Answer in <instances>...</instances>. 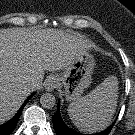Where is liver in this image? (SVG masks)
Masks as SVG:
<instances>
[{"label": "liver", "mask_w": 135, "mask_h": 135, "mask_svg": "<svg viewBox=\"0 0 135 135\" xmlns=\"http://www.w3.org/2000/svg\"><path fill=\"white\" fill-rule=\"evenodd\" d=\"M88 48L82 38L59 30L0 29V124L40 88L45 71L64 70ZM29 82L35 87L28 89Z\"/></svg>", "instance_id": "6515ba94"}]
</instances>
